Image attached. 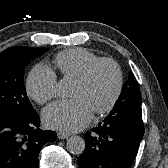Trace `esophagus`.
I'll return each instance as SVG.
<instances>
[{"instance_id":"1","label":"esophagus","mask_w":168,"mask_h":168,"mask_svg":"<svg viewBox=\"0 0 168 168\" xmlns=\"http://www.w3.org/2000/svg\"><path fill=\"white\" fill-rule=\"evenodd\" d=\"M57 136L59 139H67V138H69L70 135L68 133L58 132Z\"/></svg>"}]
</instances>
